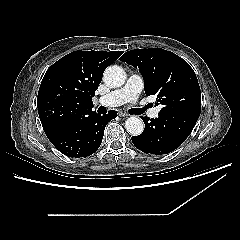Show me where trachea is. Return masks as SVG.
I'll use <instances>...</instances> for the list:
<instances>
[{
  "label": "trachea",
  "mask_w": 240,
  "mask_h": 240,
  "mask_svg": "<svg viewBox=\"0 0 240 240\" xmlns=\"http://www.w3.org/2000/svg\"><path fill=\"white\" fill-rule=\"evenodd\" d=\"M99 113H106V108L103 106H100L98 109ZM130 114H136V115H140L143 113V111H141V109H137V108H133L129 110Z\"/></svg>",
  "instance_id": "obj_1"
}]
</instances>
